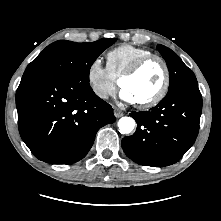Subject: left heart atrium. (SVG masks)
I'll return each instance as SVG.
<instances>
[{
  "label": "left heart atrium",
  "mask_w": 221,
  "mask_h": 221,
  "mask_svg": "<svg viewBox=\"0 0 221 221\" xmlns=\"http://www.w3.org/2000/svg\"><path fill=\"white\" fill-rule=\"evenodd\" d=\"M120 97L123 101L128 102V103H135L134 98L131 96V94L125 90L122 89L121 93H120Z\"/></svg>",
  "instance_id": "39dd6f15"
}]
</instances>
